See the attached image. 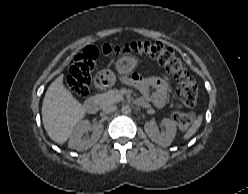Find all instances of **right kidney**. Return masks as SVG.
<instances>
[{"mask_svg":"<svg viewBox=\"0 0 248 194\" xmlns=\"http://www.w3.org/2000/svg\"><path fill=\"white\" fill-rule=\"evenodd\" d=\"M103 129V124L95 123L91 126L88 120L81 121L70 135L69 148L77 151L87 150L99 140ZM89 131H92V135L87 138Z\"/></svg>","mask_w":248,"mask_h":194,"instance_id":"obj_1","label":"right kidney"}]
</instances>
